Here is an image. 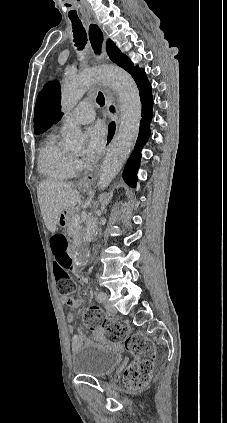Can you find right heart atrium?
Here are the masks:
<instances>
[{
  "label": "right heart atrium",
  "mask_w": 227,
  "mask_h": 423,
  "mask_svg": "<svg viewBox=\"0 0 227 423\" xmlns=\"http://www.w3.org/2000/svg\"><path fill=\"white\" fill-rule=\"evenodd\" d=\"M85 168L84 162L77 156H73L71 162L72 176L79 174Z\"/></svg>",
  "instance_id": "obj_1"
}]
</instances>
